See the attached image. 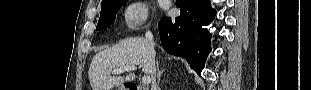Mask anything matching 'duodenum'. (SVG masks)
<instances>
[{"instance_id": "duodenum-1", "label": "duodenum", "mask_w": 311, "mask_h": 90, "mask_svg": "<svg viewBox=\"0 0 311 90\" xmlns=\"http://www.w3.org/2000/svg\"><path fill=\"white\" fill-rule=\"evenodd\" d=\"M125 90H144V88H142L138 85H135V84H129V85H127Z\"/></svg>"}]
</instances>
